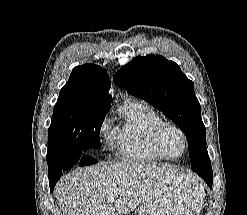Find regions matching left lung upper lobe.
<instances>
[{"instance_id":"left-lung-upper-lobe-1","label":"left lung upper lobe","mask_w":247,"mask_h":215,"mask_svg":"<svg viewBox=\"0 0 247 215\" xmlns=\"http://www.w3.org/2000/svg\"><path fill=\"white\" fill-rule=\"evenodd\" d=\"M114 82L131 95L142 98L170 118L186 135L191 168L205 158L206 128L193 82L173 61L162 56L136 57L114 76Z\"/></svg>"}]
</instances>
